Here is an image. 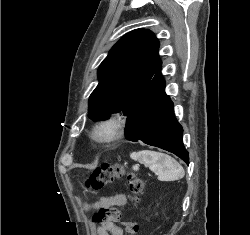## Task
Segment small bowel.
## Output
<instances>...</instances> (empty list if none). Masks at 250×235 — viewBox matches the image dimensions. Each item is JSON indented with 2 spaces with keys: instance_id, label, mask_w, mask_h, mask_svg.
<instances>
[{
  "instance_id": "small-bowel-1",
  "label": "small bowel",
  "mask_w": 250,
  "mask_h": 235,
  "mask_svg": "<svg viewBox=\"0 0 250 235\" xmlns=\"http://www.w3.org/2000/svg\"><path fill=\"white\" fill-rule=\"evenodd\" d=\"M127 197L125 194H116L102 198L94 207L106 206H125ZM97 235H123V230L118 225H98L96 229Z\"/></svg>"
}]
</instances>
